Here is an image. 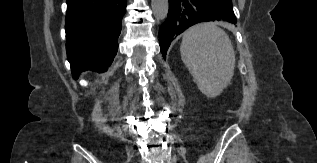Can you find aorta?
<instances>
[{
    "label": "aorta",
    "mask_w": 317,
    "mask_h": 163,
    "mask_svg": "<svg viewBox=\"0 0 317 163\" xmlns=\"http://www.w3.org/2000/svg\"><path fill=\"white\" fill-rule=\"evenodd\" d=\"M153 14L156 19L164 20L169 9V0H151Z\"/></svg>",
    "instance_id": "obj_1"
}]
</instances>
